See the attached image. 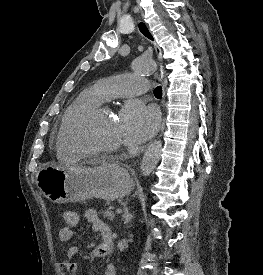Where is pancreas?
<instances>
[{
  "instance_id": "obj_1",
  "label": "pancreas",
  "mask_w": 263,
  "mask_h": 275,
  "mask_svg": "<svg viewBox=\"0 0 263 275\" xmlns=\"http://www.w3.org/2000/svg\"><path fill=\"white\" fill-rule=\"evenodd\" d=\"M101 214L105 217V218H109L110 220H113L115 217V213L113 211V207H110L109 209L102 211Z\"/></svg>"
}]
</instances>
